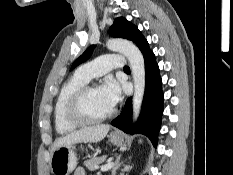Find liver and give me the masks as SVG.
Segmentation results:
<instances>
[{
  "instance_id": "6515ba94",
  "label": "liver",
  "mask_w": 233,
  "mask_h": 175,
  "mask_svg": "<svg viewBox=\"0 0 233 175\" xmlns=\"http://www.w3.org/2000/svg\"><path fill=\"white\" fill-rule=\"evenodd\" d=\"M110 126L101 124L96 126L85 127L67 134L64 137L57 139L54 143L55 150L61 146H70L75 143H97L105 138L109 132Z\"/></svg>"
}]
</instances>
